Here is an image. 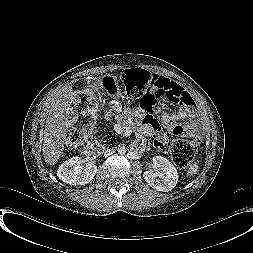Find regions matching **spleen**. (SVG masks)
Listing matches in <instances>:
<instances>
[{"instance_id": "spleen-1", "label": "spleen", "mask_w": 253, "mask_h": 253, "mask_svg": "<svg viewBox=\"0 0 253 253\" xmlns=\"http://www.w3.org/2000/svg\"><path fill=\"white\" fill-rule=\"evenodd\" d=\"M193 172V168H190L188 173L191 174Z\"/></svg>"}]
</instances>
